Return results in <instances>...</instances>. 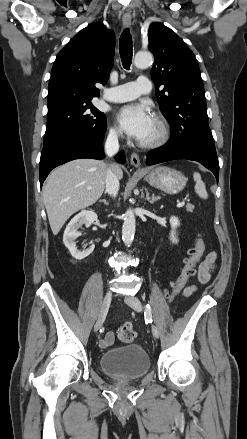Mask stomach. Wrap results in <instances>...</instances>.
I'll return each mask as SVG.
<instances>
[{
    "instance_id": "1",
    "label": "stomach",
    "mask_w": 247,
    "mask_h": 439,
    "mask_svg": "<svg viewBox=\"0 0 247 439\" xmlns=\"http://www.w3.org/2000/svg\"><path fill=\"white\" fill-rule=\"evenodd\" d=\"M145 179L151 186L169 194L181 192L187 183V178L181 172L165 166L148 169Z\"/></svg>"
}]
</instances>
